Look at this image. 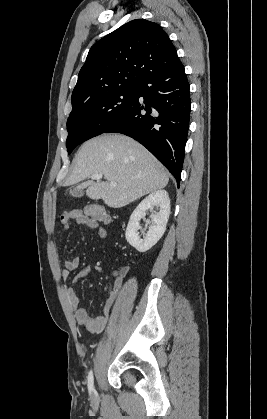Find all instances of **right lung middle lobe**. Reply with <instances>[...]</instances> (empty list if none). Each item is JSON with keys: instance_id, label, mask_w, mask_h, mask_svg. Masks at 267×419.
I'll return each instance as SVG.
<instances>
[{"instance_id": "1", "label": "right lung middle lobe", "mask_w": 267, "mask_h": 419, "mask_svg": "<svg viewBox=\"0 0 267 419\" xmlns=\"http://www.w3.org/2000/svg\"><path fill=\"white\" fill-rule=\"evenodd\" d=\"M137 95L138 87H127L97 93L73 104L67 120L68 153L82 142L104 133L112 123L121 119Z\"/></svg>"}]
</instances>
